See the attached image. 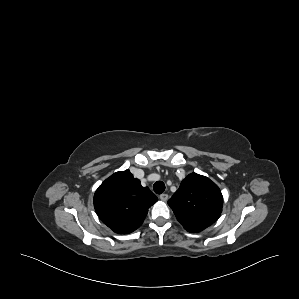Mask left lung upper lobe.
Returning <instances> with one entry per match:
<instances>
[{
    "instance_id": "5c2ea615",
    "label": "left lung upper lobe",
    "mask_w": 299,
    "mask_h": 299,
    "mask_svg": "<svg viewBox=\"0 0 299 299\" xmlns=\"http://www.w3.org/2000/svg\"><path fill=\"white\" fill-rule=\"evenodd\" d=\"M177 220L188 232H201L219 218L223 196L209 178L189 174L168 200Z\"/></svg>"
}]
</instances>
